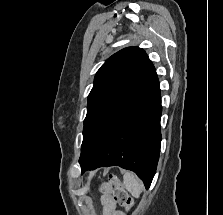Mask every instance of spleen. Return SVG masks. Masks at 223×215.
Listing matches in <instances>:
<instances>
[{"label":"spleen","instance_id":"obj_1","mask_svg":"<svg viewBox=\"0 0 223 215\" xmlns=\"http://www.w3.org/2000/svg\"><path fill=\"white\" fill-rule=\"evenodd\" d=\"M123 183L126 189H128V191H130L134 197H139L143 189V183H141L139 179H136L135 175H133L131 171H126V173H124Z\"/></svg>","mask_w":223,"mask_h":215}]
</instances>
